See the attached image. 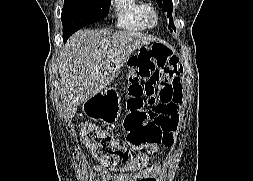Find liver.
<instances>
[{
    "instance_id": "liver-1",
    "label": "liver",
    "mask_w": 253,
    "mask_h": 181,
    "mask_svg": "<svg viewBox=\"0 0 253 181\" xmlns=\"http://www.w3.org/2000/svg\"><path fill=\"white\" fill-rule=\"evenodd\" d=\"M154 41L129 30L84 29L73 34L58 59L65 115L72 118L78 105L110 84L136 49Z\"/></svg>"
}]
</instances>
